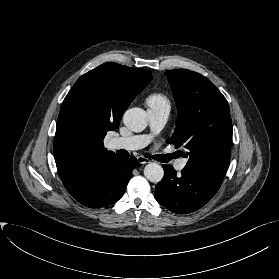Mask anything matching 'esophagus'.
<instances>
[{
	"label": "esophagus",
	"instance_id": "1",
	"mask_svg": "<svg viewBox=\"0 0 279 279\" xmlns=\"http://www.w3.org/2000/svg\"><path fill=\"white\" fill-rule=\"evenodd\" d=\"M137 160L140 164H147L150 163V160L144 156L137 157Z\"/></svg>",
	"mask_w": 279,
	"mask_h": 279
}]
</instances>
